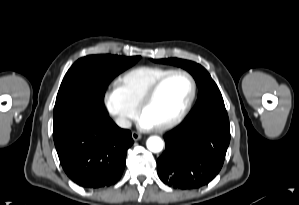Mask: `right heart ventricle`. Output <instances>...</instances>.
<instances>
[{
	"instance_id": "e07e8e85",
	"label": "right heart ventricle",
	"mask_w": 299,
	"mask_h": 205,
	"mask_svg": "<svg viewBox=\"0 0 299 205\" xmlns=\"http://www.w3.org/2000/svg\"><path fill=\"white\" fill-rule=\"evenodd\" d=\"M173 69L160 66H139L122 74L116 81L124 98L137 108L142 97L151 85Z\"/></svg>"
}]
</instances>
